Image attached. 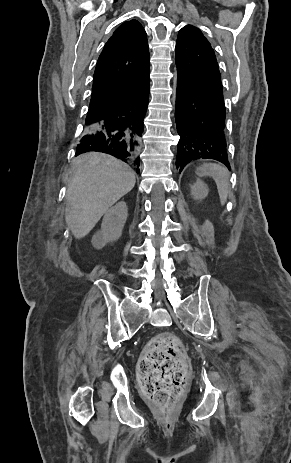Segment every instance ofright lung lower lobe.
<instances>
[{"label": "right lung lower lobe", "mask_w": 291, "mask_h": 463, "mask_svg": "<svg viewBox=\"0 0 291 463\" xmlns=\"http://www.w3.org/2000/svg\"><path fill=\"white\" fill-rule=\"evenodd\" d=\"M149 99V84L131 94L121 106L86 124L76 156L88 151L110 154L139 173V148Z\"/></svg>", "instance_id": "98d812e1"}]
</instances>
